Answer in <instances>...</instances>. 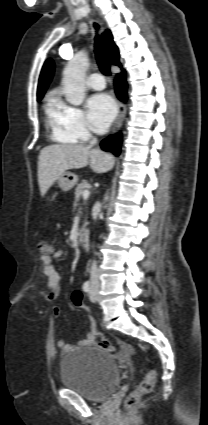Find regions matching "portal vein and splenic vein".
Instances as JSON below:
<instances>
[{
  "instance_id": "portal-vein-and-splenic-vein-1",
  "label": "portal vein and splenic vein",
  "mask_w": 208,
  "mask_h": 425,
  "mask_svg": "<svg viewBox=\"0 0 208 425\" xmlns=\"http://www.w3.org/2000/svg\"><path fill=\"white\" fill-rule=\"evenodd\" d=\"M89 197V191L88 190H85L84 192H83V198L84 199H87Z\"/></svg>"
}]
</instances>
